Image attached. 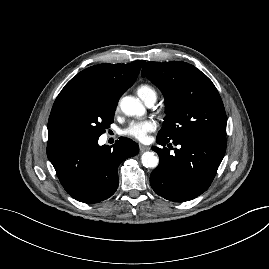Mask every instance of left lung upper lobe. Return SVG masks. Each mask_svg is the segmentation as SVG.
<instances>
[{
    "instance_id": "1",
    "label": "left lung upper lobe",
    "mask_w": 269,
    "mask_h": 269,
    "mask_svg": "<svg viewBox=\"0 0 269 269\" xmlns=\"http://www.w3.org/2000/svg\"><path fill=\"white\" fill-rule=\"evenodd\" d=\"M166 101V117L157 139L166 142L194 135L226 137V113L212 81L191 64L147 62L141 73Z\"/></svg>"
}]
</instances>
